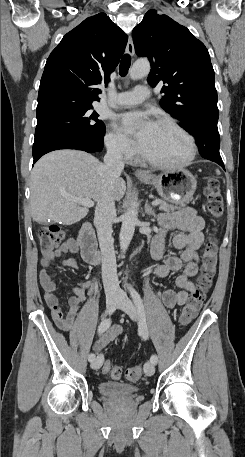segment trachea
<instances>
[{"label": "trachea", "mask_w": 245, "mask_h": 457, "mask_svg": "<svg viewBox=\"0 0 245 457\" xmlns=\"http://www.w3.org/2000/svg\"><path fill=\"white\" fill-rule=\"evenodd\" d=\"M131 64V57L130 55H124L121 59L120 66H119V73L121 77H125L127 75L128 70Z\"/></svg>", "instance_id": "obj_1"}]
</instances>
